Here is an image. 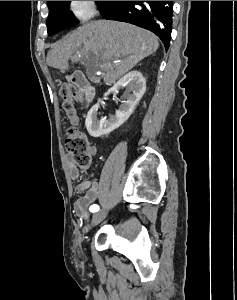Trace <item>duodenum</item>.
Returning a JSON list of instances; mask_svg holds the SVG:
<instances>
[{"label":"duodenum","mask_w":237,"mask_h":300,"mask_svg":"<svg viewBox=\"0 0 237 300\" xmlns=\"http://www.w3.org/2000/svg\"><path fill=\"white\" fill-rule=\"evenodd\" d=\"M72 84L84 94L87 102L91 101L95 95V90L88 83L87 79L81 72H75L71 75Z\"/></svg>","instance_id":"1"}]
</instances>
